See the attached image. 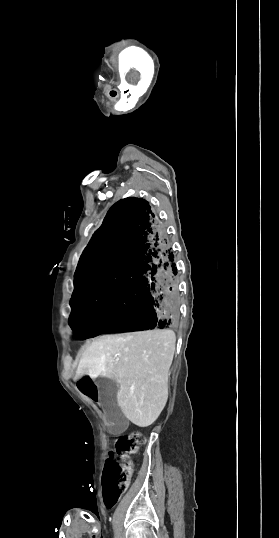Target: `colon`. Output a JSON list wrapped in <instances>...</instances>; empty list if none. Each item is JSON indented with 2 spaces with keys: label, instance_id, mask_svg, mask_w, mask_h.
Returning <instances> with one entry per match:
<instances>
[{
  "label": "colon",
  "instance_id": "5ec220e1",
  "mask_svg": "<svg viewBox=\"0 0 279 538\" xmlns=\"http://www.w3.org/2000/svg\"><path fill=\"white\" fill-rule=\"evenodd\" d=\"M143 443L144 437L139 432H131L116 441L103 472V496L107 508L115 506L126 491L133 466L131 463L126 464L125 460L136 454Z\"/></svg>",
  "mask_w": 279,
  "mask_h": 538
}]
</instances>
